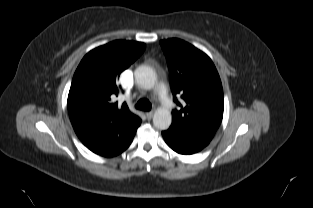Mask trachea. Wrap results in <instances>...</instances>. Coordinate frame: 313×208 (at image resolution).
<instances>
[{
    "label": "trachea",
    "instance_id": "3493384b",
    "mask_svg": "<svg viewBox=\"0 0 313 208\" xmlns=\"http://www.w3.org/2000/svg\"><path fill=\"white\" fill-rule=\"evenodd\" d=\"M135 107L140 110L149 111L151 109V103L147 99L139 100Z\"/></svg>",
    "mask_w": 313,
    "mask_h": 208
}]
</instances>
